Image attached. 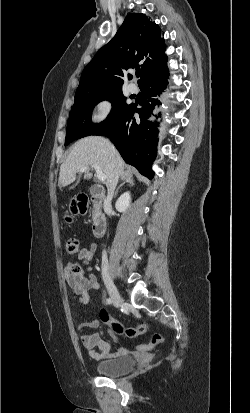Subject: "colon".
<instances>
[{"instance_id": "obj_1", "label": "colon", "mask_w": 250, "mask_h": 413, "mask_svg": "<svg viewBox=\"0 0 250 413\" xmlns=\"http://www.w3.org/2000/svg\"><path fill=\"white\" fill-rule=\"evenodd\" d=\"M88 212V204L84 197L73 198L66 209L65 219L67 222L72 220L73 216L84 215ZM65 252L68 255H76L80 252L79 242L76 238H69L65 243ZM76 272H79V269H75ZM100 319L109 325L112 331L119 335H124L129 338H134L137 336H145L147 333L146 328L148 327L147 321L136 322L134 327H126L122 323L113 320L110 318L108 313L105 310L100 311ZM163 341L162 336L154 335L151 341H141L135 345L136 352L147 353L149 350L156 348L157 344H160Z\"/></svg>"}]
</instances>
